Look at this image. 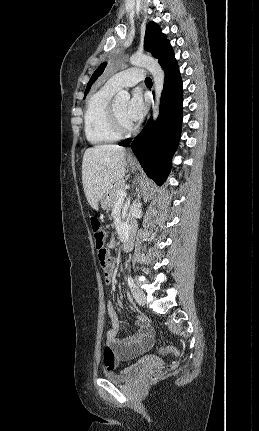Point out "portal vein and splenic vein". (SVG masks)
<instances>
[{"label":"portal vein and splenic vein","mask_w":259,"mask_h":431,"mask_svg":"<svg viewBox=\"0 0 259 431\" xmlns=\"http://www.w3.org/2000/svg\"><path fill=\"white\" fill-rule=\"evenodd\" d=\"M117 196L119 198V200H124V198L127 196V193L125 190H120L117 192Z\"/></svg>","instance_id":"18ae733b"}]
</instances>
